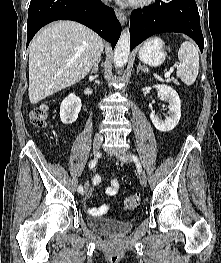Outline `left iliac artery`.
I'll return each mask as SVG.
<instances>
[{"label":"left iliac artery","mask_w":221,"mask_h":263,"mask_svg":"<svg viewBox=\"0 0 221 263\" xmlns=\"http://www.w3.org/2000/svg\"><path fill=\"white\" fill-rule=\"evenodd\" d=\"M132 158L134 161H137V157L135 155H132Z\"/></svg>","instance_id":"left-iliac-artery-1"}]
</instances>
